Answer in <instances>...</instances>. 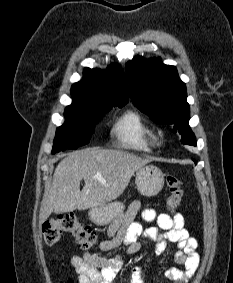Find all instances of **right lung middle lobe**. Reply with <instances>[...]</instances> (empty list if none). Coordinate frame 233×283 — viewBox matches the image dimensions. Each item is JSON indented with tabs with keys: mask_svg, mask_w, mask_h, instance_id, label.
Returning <instances> with one entry per match:
<instances>
[{
	"mask_svg": "<svg viewBox=\"0 0 233 283\" xmlns=\"http://www.w3.org/2000/svg\"><path fill=\"white\" fill-rule=\"evenodd\" d=\"M118 107L124 104L114 105ZM113 106H89L73 102L64 112L65 123L58 127L52 153L87 144L100 118Z\"/></svg>",
	"mask_w": 233,
	"mask_h": 283,
	"instance_id": "1",
	"label": "right lung middle lobe"
}]
</instances>
